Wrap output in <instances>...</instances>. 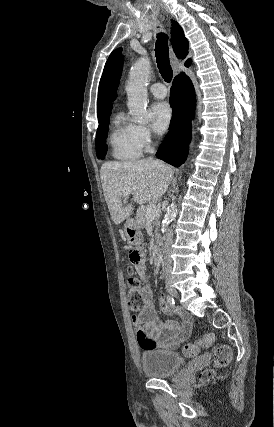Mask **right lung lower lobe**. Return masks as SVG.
Here are the masks:
<instances>
[{
    "label": "right lung lower lobe",
    "mask_w": 274,
    "mask_h": 427,
    "mask_svg": "<svg viewBox=\"0 0 274 427\" xmlns=\"http://www.w3.org/2000/svg\"><path fill=\"white\" fill-rule=\"evenodd\" d=\"M172 120L169 133L159 147L156 156L179 167L186 160L191 139V120L195 108V94L190 79L182 73L173 81L170 91Z\"/></svg>",
    "instance_id": "98d812e1"
}]
</instances>
